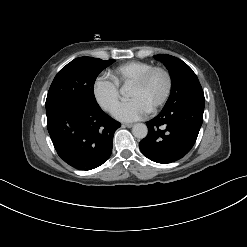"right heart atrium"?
<instances>
[{
    "label": "right heart atrium",
    "mask_w": 247,
    "mask_h": 247,
    "mask_svg": "<svg viewBox=\"0 0 247 247\" xmlns=\"http://www.w3.org/2000/svg\"><path fill=\"white\" fill-rule=\"evenodd\" d=\"M93 96L103 110L112 113L119 102V85L109 75H101L93 83Z\"/></svg>",
    "instance_id": "1"
}]
</instances>
